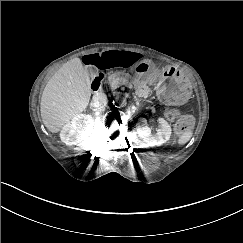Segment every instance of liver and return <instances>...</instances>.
Wrapping results in <instances>:
<instances>
[{"instance_id":"obj_1","label":"liver","mask_w":243,"mask_h":243,"mask_svg":"<svg viewBox=\"0 0 243 243\" xmlns=\"http://www.w3.org/2000/svg\"><path fill=\"white\" fill-rule=\"evenodd\" d=\"M91 82L79 58L65 63L47 82L40 111L46 128L53 133L83 111L90 100Z\"/></svg>"}]
</instances>
